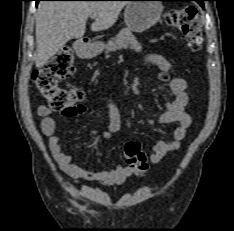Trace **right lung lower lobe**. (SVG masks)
I'll return each instance as SVG.
<instances>
[{"label":"right lung lower lobe","instance_id":"obj_1","mask_svg":"<svg viewBox=\"0 0 234 231\" xmlns=\"http://www.w3.org/2000/svg\"><path fill=\"white\" fill-rule=\"evenodd\" d=\"M36 3H38L39 1H56V0H35Z\"/></svg>","mask_w":234,"mask_h":231}]
</instances>
